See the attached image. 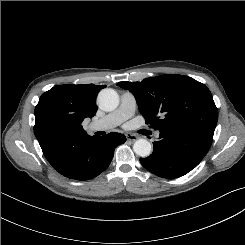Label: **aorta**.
<instances>
[{
	"mask_svg": "<svg viewBox=\"0 0 245 245\" xmlns=\"http://www.w3.org/2000/svg\"><path fill=\"white\" fill-rule=\"evenodd\" d=\"M99 107L104 111H113L119 105V96L114 89L105 88L98 94ZM134 152L140 157H147L152 151L151 143L146 139H139L133 145Z\"/></svg>",
	"mask_w": 245,
	"mask_h": 245,
	"instance_id": "1",
	"label": "aorta"
}]
</instances>
